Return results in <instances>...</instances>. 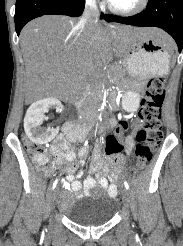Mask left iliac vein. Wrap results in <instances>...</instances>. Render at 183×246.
Listing matches in <instances>:
<instances>
[{"instance_id": "left-iliac-vein-1", "label": "left iliac vein", "mask_w": 183, "mask_h": 246, "mask_svg": "<svg viewBox=\"0 0 183 246\" xmlns=\"http://www.w3.org/2000/svg\"><path fill=\"white\" fill-rule=\"evenodd\" d=\"M122 200H123V204H124L125 208L129 209V207L131 205V199H130V194L127 191V189H124L122 191Z\"/></svg>"}]
</instances>
